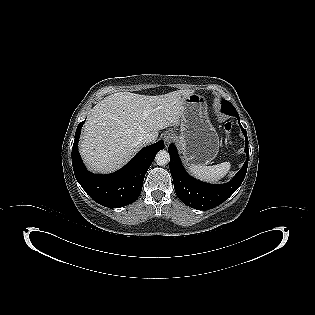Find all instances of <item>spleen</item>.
<instances>
[{"label":"spleen","mask_w":315,"mask_h":315,"mask_svg":"<svg viewBox=\"0 0 315 315\" xmlns=\"http://www.w3.org/2000/svg\"><path fill=\"white\" fill-rule=\"evenodd\" d=\"M230 167L231 165L229 162H223L212 166L193 164L189 167V171L192 175L201 180L217 182L228 173Z\"/></svg>","instance_id":"1"}]
</instances>
